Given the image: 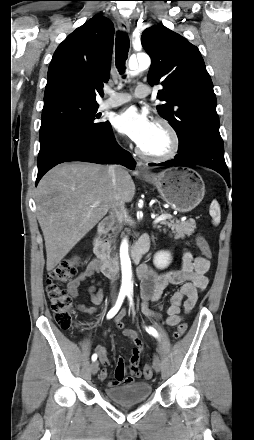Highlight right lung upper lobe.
<instances>
[{"label": "right lung upper lobe", "mask_w": 254, "mask_h": 440, "mask_svg": "<svg viewBox=\"0 0 254 440\" xmlns=\"http://www.w3.org/2000/svg\"><path fill=\"white\" fill-rule=\"evenodd\" d=\"M113 35L112 22L100 15L68 35L49 65L44 104L62 97L96 102L109 79Z\"/></svg>", "instance_id": "cb5924a9"}]
</instances>
